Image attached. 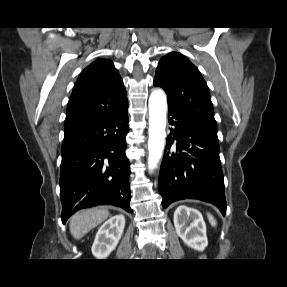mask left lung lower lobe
I'll return each instance as SVG.
<instances>
[{
    "mask_svg": "<svg viewBox=\"0 0 287 287\" xmlns=\"http://www.w3.org/2000/svg\"><path fill=\"white\" fill-rule=\"evenodd\" d=\"M168 121L173 128L167 137L158 180L162 206L166 208L182 199H198L214 204L225 215L218 137L170 107Z\"/></svg>",
    "mask_w": 287,
    "mask_h": 287,
    "instance_id": "1",
    "label": "left lung lower lobe"
}]
</instances>
